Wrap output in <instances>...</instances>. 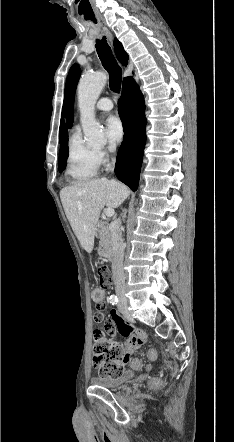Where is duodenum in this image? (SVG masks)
I'll return each mask as SVG.
<instances>
[{"label": "duodenum", "instance_id": "410a0bca", "mask_svg": "<svg viewBox=\"0 0 234 442\" xmlns=\"http://www.w3.org/2000/svg\"><path fill=\"white\" fill-rule=\"evenodd\" d=\"M108 234V225L106 223L100 222L96 225L95 229V235L98 237H106ZM102 254L105 258H107L109 261H112L113 259V252L108 245L107 242L103 244L102 247Z\"/></svg>", "mask_w": 234, "mask_h": 442}]
</instances>
